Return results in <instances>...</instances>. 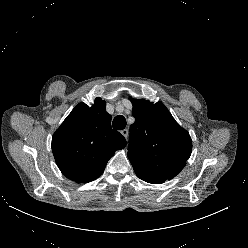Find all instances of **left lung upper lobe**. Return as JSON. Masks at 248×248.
Listing matches in <instances>:
<instances>
[{
  "label": "left lung upper lobe",
  "mask_w": 248,
  "mask_h": 248,
  "mask_svg": "<svg viewBox=\"0 0 248 248\" xmlns=\"http://www.w3.org/2000/svg\"><path fill=\"white\" fill-rule=\"evenodd\" d=\"M130 100L135 122L130 127L127 156L140 179L164 183L186 165L192 150L191 137L161 102Z\"/></svg>",
  "instance_id": "obj_1"
}]
</instances>
